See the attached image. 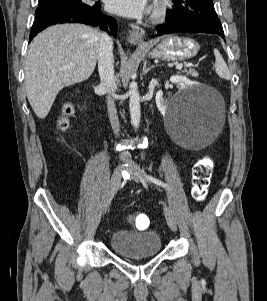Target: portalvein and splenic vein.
Wrapping results in <instances>:
<instances>
[{
  "label": "portal vein and splenic vein",
  "instance_id": "18ae733b",
  "mask_svg": "<svg viewBox=\"0 0 267 301\" xmlns=\"http://www.w3.org/2000/svg\"><path fill=\"white\" fill-rule=\"evenodd\" d=\"M192 66H193L192 63L185 64V67H192ZM182 67H183V65H178V66H176V69L180 70Z\"/></svg>",
  "mask_w": 267,
  "mask_h": 301
}]
</instances>
